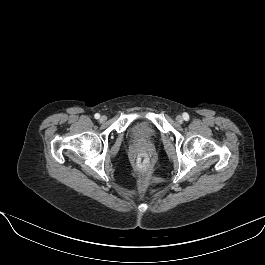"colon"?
<instances>
[{
	"mask_svg": "<svg viewBox=\"0 0 265 265\" xmlns=\"http://www.w3.org/2000/svg\"><path fill=\"white\" fill-rule=\"evenodd\" d=\"M136 165L140 171H147L149 169V159L146 155L141 154L136 159Z\"/></svg>",
	"mask_w": 265,
	"mask_h": 265,
	"instance_id": "5ec220e1",
	"label": "colon"
}]
</instances>
